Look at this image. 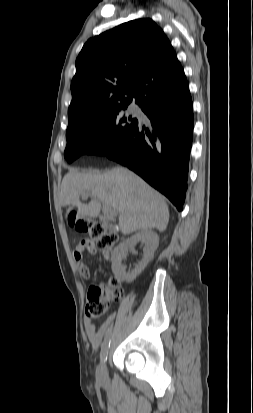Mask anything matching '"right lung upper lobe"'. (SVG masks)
<instances>
[{"label":"right lung upper lobe","instance_id":"obj_1","mask_svg":"<svg viewBox=\"0 0 253 413\" xmlns=\"http://www.w3.org/2000/svg\"><path fill=\"white\" fill-rule=\"evenodd\" d=\"M184 70L163 30L148 18L90 38L76 59L69 121L115 105L180 95Z\"/></svg>","mask_w":253,"mask_h":413}]
</instances>
